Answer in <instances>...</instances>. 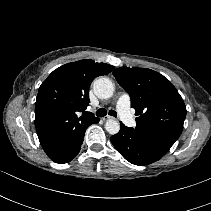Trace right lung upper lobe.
Instances as JSON below:
<instances>
[{
	"instance_id": "right-lung-upper-lobe-1",
	"label": "right lung upper lobe",
	"mask_w": 211,
	"mask_h": 211,
	"mask_svg": "<svg viewBox=\"0 0 211 211\" xmlns=\"http://www.w3.org/2000/svg\"><path fill=\"white\" fill-rule=\"evenodd\" d=\"M113 70L109 64L80 60L57 68L41 84L35 103V126L47 155L60 151L78 130L100 120L85 112L90 102L89 87L94 78Z\"/></svg>"
}]
</instances>
